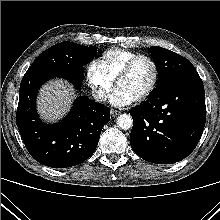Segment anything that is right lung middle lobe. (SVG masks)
Segmentation results:
<instances>
[{
	"mask_svg": "<svg viewBox=\"0 0 220 220\" xmlns=\"http://www.w3.org/2000/svg\"><path fill=\"white\" fill-rule=\"evenodd\" d=\"M97 54L96 46L61 42L43 51L27 71L83 69Z\"/></svg>",
	"mask_w": 220,
	"mask_h": 220,
	"instance_id": "dd1d6c3e",
	"label": "right lung middle lobe"
}]
</instances>
